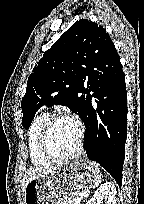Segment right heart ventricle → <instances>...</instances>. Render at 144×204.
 <instances>
[{
	"label": "right heart ventricle",
	"mask_w": 144,
	"mask_h": 204,
	"mask_svg": "<svg viewBox=\"0 0 144 204\" xmlns=\"http://www.w3.org/2000/svg\"><path fill=\"white\" fill-rule=\"evenodd\" d=\"M49 114L45 111L37 114L28 131V152L31 162L36 166H45L51 163V160L44 157L39 149V137L44 123L46 122Z\"/></svg>",
	"instance_id": "obj_1"
}]
</instances>
